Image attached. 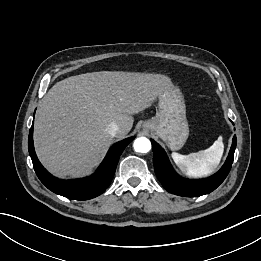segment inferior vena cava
Masks as SVG:
<instances>
[{"label": "inferior vena cava", "mask_w": 261, "mask_h": 261, "mask_svg": "<svg viewBox=\"0 0 261 261\" xmlns=\"http://www.w3.org/2000/svg\"><path fill=\"white\" fill-rule=\"evenodd\" d=\"M118 131L119 126L115 122L110 123L106 128V132L113 137L117 134Z\"/></svg>", "instance_id": "obj_1"}]
</instances>
